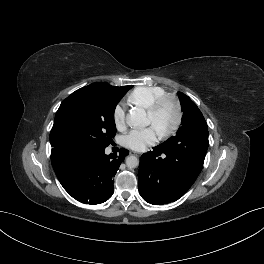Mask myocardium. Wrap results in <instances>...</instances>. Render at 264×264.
<instances>
[{
	"label": "myocardium",
	"instance_id": "f54148a6",
	"mask_svg": "<svg viewBox=\"0 0 264 264\" xmlns=\"http://www.w3.org/2000/svg\"><path fill=\"white\" fill-rule=\"evenodd\" d=\"M166 103H170L173 106L175 112V119L173 124L168 129L159 132V135L162 138H168L174 135L179 130L183 120V111L181 103L176 96L171 94H165L156 99L147 108V113L151 116H155Z\"/></svg>",
	"mask_w": 264,
	"mask_h": 264
}]
</instances>
